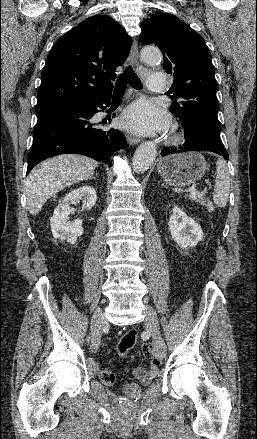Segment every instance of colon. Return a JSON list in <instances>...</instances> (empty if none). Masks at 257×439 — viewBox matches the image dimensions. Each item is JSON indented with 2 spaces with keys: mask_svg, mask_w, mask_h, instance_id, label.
<instances>
[{
  "mask_svg": "<svg viewBox=\"0 0 257 439\" xmlns=\"http://www.w3.org/2000/svg\"><path fill=\"white\" fill-rule=\"evenodd\" d=\"M138 340V332L136 329L127 330L119 339L117 344V352L120 357H125L136 345ZM143 354L151 359L153 365H158L159 360L155 356V349L152 344L147 343L142 347ZM93 371L98 375L99 379L107 385L113 384L115 376L108 370L99 369L96 364L91 365ZM124 389L127 392H136L138 390L137 384L133 382H127L124 385Z\"/></svg>",
  "mask_w": 257,
  "mask_h": 439,
  "instance_id": "colon-1",
  "label": "colon"
}]
</instances>
